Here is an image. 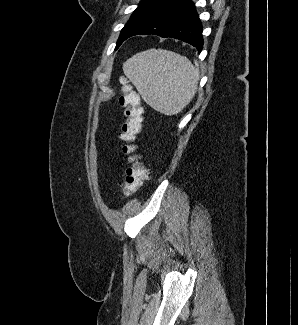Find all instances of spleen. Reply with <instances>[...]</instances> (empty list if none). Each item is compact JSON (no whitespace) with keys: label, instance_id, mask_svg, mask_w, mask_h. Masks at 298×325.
I'll return each instance as SVG.
<instances>
[{"label":"spleen","instance_id":"3e777b00","mask_svg":"<svg viewBox=\"0 0 298 325\" xmlns=\"http://www.w3.org/2000/svg\"><path fill=\"white\" fill-rule=\"evenodd\" d=\"M124 74L136 86L143 100L163 114H178L193 96L198 86V62L173 50L148 48L127 58Z\"/></svg>","mask_w":298,"mask_h":325}]
</instances>
